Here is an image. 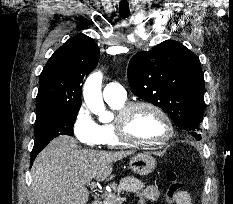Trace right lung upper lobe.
<instances>
[{
    "mask_svg": "<svg viewBox=\"0 0 233 204\" xmlns=\"http://www.w3.org/2000/svg\"><path fill=\"white\" fill-rule=\"evenodd\" d=\"M100 52L96 42L83 34L67 40L57 49L40 74L36 112L80 109V85L97 65Z\"/></svg>",
    "mask_w": 233,
    "mask_h": 204,
    "instance_id": "right-lung-upper-lobe-1",
    "label": "right lung upper lobe"
}]
</instances>
